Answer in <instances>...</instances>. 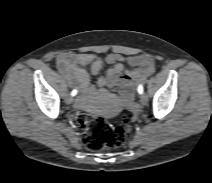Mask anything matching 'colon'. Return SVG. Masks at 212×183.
Here are the masks:
<instances>
[{"instance_id":"5ec220e1","label":"colon","mask_w":212,"mask_h":183,"mask_svg":"<svg viewBox=\"0 0 212 183\" xmlns=\"http://www.w3.org/2000/svg\"><path fill=\"white\" fill-rule=\"evenodd\" d=\"M77 119L85 126L83 141L85 146L92 151L123 146L131 128L127 120L124 121L123 126H113L100 116L80 114Z\"/></svg>"}]
</instances>
